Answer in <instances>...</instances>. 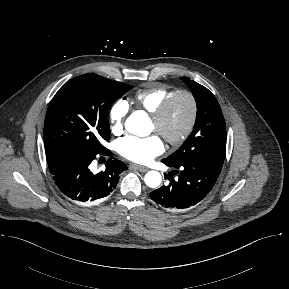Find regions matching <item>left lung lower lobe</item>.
I'll use <instances>...</instances> for the list:
<instances>
[{
	"instance_id": "0a47b994",
	"label": "left lung lower lobe",
	"mask_w": 289,
	"mask_h": 289,
	"mask_svg": "<svg viewBox=\"0 0 289 289\" xmlns=\"http://www.w3.org/2000/svg\"><path fill=\"white\" fill-rule=\"evenodd\" d=\"M162 162L173 169L168 174L170 182L152 191L150 197L169 210H184L200 203L213 188L222 169V165L212 162L184 163L179 166ZM173 174L178 176L176 180Z\"/></svg>"
}]
</instances>
